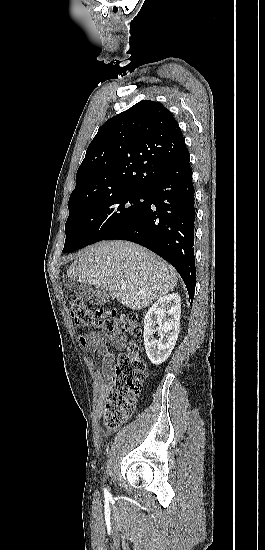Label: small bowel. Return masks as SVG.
Returning a JSON list of instances; mask_svg holds the SVG:
<instances>
[{"mask_svg":"<svg viewBox=\"0 0 265 550\" xmlns=\"http://www.w3.org/2000/svg\"><path fill=\"white\" fill-rule=\"evenodd\" d=\"M82 347L87 350L97 352L103 357L105 365L112 363L114 354L108 350V345L115 349H121L126 343V337L123 334L109 335L104 333L83 334L79 337ZM93 375L99 385L103 384V374L101 370L94 369ZM102 409L97 410V417L100 418Z\"/></svg>","mask_w":265,"mask_h":550,"instance_id":"1","label":"small bowel"}]
</instances>
